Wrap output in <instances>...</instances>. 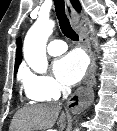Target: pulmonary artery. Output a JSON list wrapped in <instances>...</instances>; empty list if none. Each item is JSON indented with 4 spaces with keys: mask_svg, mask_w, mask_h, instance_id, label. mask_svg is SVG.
<instances>
[{
    "mask_svg": "<svg viewBox=\"0 0 117 131\" xmlns=\"http://www.w3.org/2000/svg\"><path fill=\"white\" fill-rule=\"evenodd\" d=\"M67 50V45L63 40H52L48 46L47 51L52 56H58Z\"/></svg>",
    "mask_w": 117,
    "mask_h": 131,
    "instance_id": "obj_1",
    "label": "pulmonary artery"
}]
</instances>
